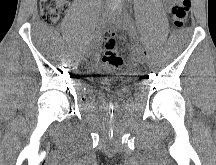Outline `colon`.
<instances>
[{
  "instance_id": "obj_1",
  "label": "colon",
  "mask_w": 216,
  "mask_h": 165,
  "mask_svg": "<svg viewBox=\"0 0 216 165\" xmlns=\"http://www.w3.org/2000/svg\"><path fill=\"white\" fill-rule=\"evenodd\" d=\"M173 23L182 27L189 15L190 0H168ZM67 5V0H40V13L44 21L55 23ZM102 64L107 71H117L123 66V59L116 50V39L109 36L105 42Z\"/></svg>"
}]
</instances>
